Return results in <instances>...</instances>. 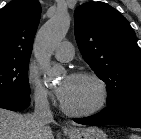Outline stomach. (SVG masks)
<instances>
[{
    "mask_svg": "<svg viewBox=\"0 0 141 139\" xmlns=\"http://www.w3.org/2000/svg\"><path fill=\"white\" fill-rule=\"evenodd\" d=\"M70 139H107V135L98 127L80 128L68 133Z\"/></svg>",
    "mask_w": 141,
    "mask_h": 139,
    "instance_id": "stomach-1",
    "label": "stomach"
}]
</instances>
